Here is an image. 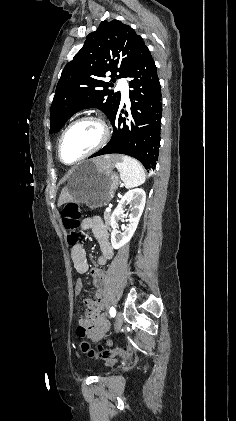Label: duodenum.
<instances>
[{
  "label": "duodenum",
  "instance_id": "duodenum-1",
  "mask_svg": "<svg viewBox=\"0 0 236 421\" xmlns=\"http://www.w3.org/2000/svg\"><path fill=\"white\" fill-rule=\"evenodd\" d=\"M113 255V251L109 246H103L102 255L98 259V263L100 265L106 264ZM93 278L97 284V291H96V302H95V309L92 310V315L90 316L89 320H85L83 322L84 329L83 331L89 335H96L99 334V325L98 320L96 319V310L103 308L104 306V294H103V278H104V271L100 268H96L93 270Z\"/></svg>",
  "mask_w": 236,
  "mask_h": 421
}]
</instances>
